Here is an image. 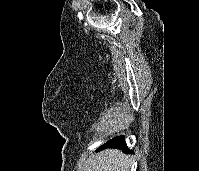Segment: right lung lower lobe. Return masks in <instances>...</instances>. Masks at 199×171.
I'll list each match as a JSON object with an SVG mask.
<instances>
[{
  "label": "right lung lower lobe",
  "instance_id": "98d812e1",
  "mask_svg": "<svg viewBox=\"0 0 199 171\" xmlns=\"http://www.w3.org/2000/svg\"><path fill=\"white\" fill-rule=\"evenodd\" d=\"M106 148H120L122 150H124V152L126 153H133L132 150H129L126 146L125 140H124V136H118L115 137L111 140H109L108 142H106L105 144H103L99 149V150H103Z\"/></svg>",
  "mask_w": 199,
  "mask_h": 171
}]
</instances>
